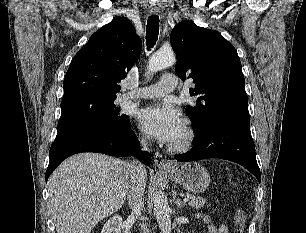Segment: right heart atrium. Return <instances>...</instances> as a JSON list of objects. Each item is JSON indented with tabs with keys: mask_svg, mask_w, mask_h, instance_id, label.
Listing matches in <instances>:
<instances>
[{
	"mask_svg": "<svg viewBox=\"0 0 306 233\" xmlns=\"http://www.w3.org/2000/svg\"><path fill=\"white\" fill-rule=\"evenodd\" d=\"M138 139H139V142H140L142 145H147L148 142H149L148 137H147L145 134H143V133L139 134Z\"/></svg>",
	"mask_w": 306,
	"mask_h": 233,
	"instance_id": "right-heart-atrium-1",
	"label": "right heart atrium"
}]
</instances>
